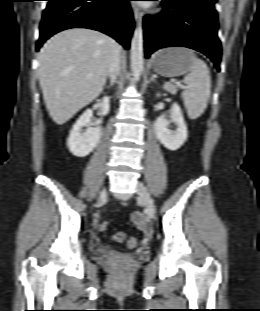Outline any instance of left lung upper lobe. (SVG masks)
<instances>
[{"mask_svg": "<svg viewBox=\"0 0 260 311\" xmlns=\"http://www.w3.org/2000/svg\"><path fill=\"white\" fill-rule=\"evenodd\" d=\"M201 1H203L205 3H208V4H211V5L214 6V4L216 3L217 0H201Z\"/></svg>", "mask_w": 260, "mask_h": 311, "instance_id": "1", "label": "left lung upper lobe"}]
</instances>
